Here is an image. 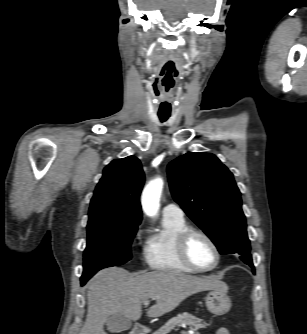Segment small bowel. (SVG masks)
Here are the masks:
<instances>
[{
	"label": "small bowel",
	"instance_id": "obj_1",
	"mask_svg": "<svg viewBox=\"0 0 307 334\" xmlns=\"http://www.w3.org/2000/svg\"><path fill=\"white\" fill-rule=\"evenodd\" d=\"M214 334H230L229 330L225 327L218 328Z\"/></svg>",
	"mask_w": 307,
	"mask_h": 334
}]
</instances>
